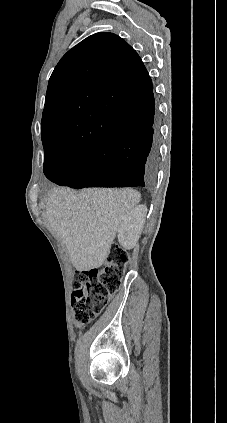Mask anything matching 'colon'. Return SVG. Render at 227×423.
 <instances>
[{"label": "colon", "mask_w": 227, "mask_h": 423, "mask_svg": "<svg viewBox=\"0 0 227 423\" xmlns=\"http://www.w3.org/2000/svg\"><path fill=\"white\" fill-rule=\"evenodd\" d=\"M128 261V253L113 246L103 268L77 271L71 301L78 325L90 323L103 311L119 290Z\"/></svg>", "instance_id": "1"}]
</instances>
